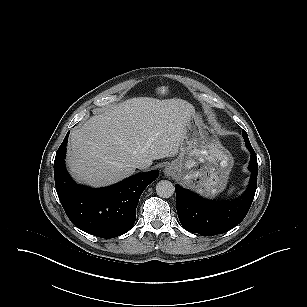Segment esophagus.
I'll return each instance as SVG.
<instances>
[{
	"instance_id": "1",
	"label": "esophagus",
	"mask_w": 307,
	"mask_h": 307,
	"mask_svg": "<svg viewBox=\"0 0 307 307\" xmlns=\"http://www.w3.org/2000/svg\"><path fill=\"white\" fill-rule=\"evenodd\" d=\"M164 174L165 176H171L174 174V169L171 166H166L164 168Z\"/></svg>"
}]
</instances>
